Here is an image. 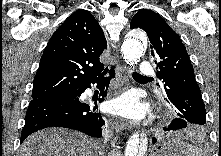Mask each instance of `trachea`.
Wrapping results in <instances>:
<instances>
[{
  "label": "trachea",
  "instance_id": "obj_1",
  "mask_svg": "<svg viewBox=\"0 0 221 156\" xmlns=\"http://www.w3.org/2000/svg\"><path fill=\"white\" fill-rule=\"evenodd\" d=\"M132 76H133L134 78H147L146 76H142V75H140V74H138V73H136V72H133Z\"/></svg>",
  "mask_w": 221,
  "mask_h": 156
}]
</instances>
